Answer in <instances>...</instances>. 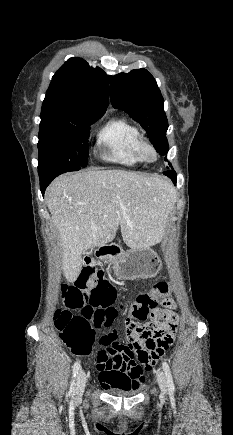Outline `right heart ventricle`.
Instances as JSON below:
<instances>
[{"mask_svg": "<svg viewBox=\"0 0 233 435\" xmlns=\"http://www.w3.org/2000/svg\"><path fill=\"white\" fill-rule=\"evenodd\" d=\"M99 143L106 149L104 159L107 161L132 167L146 162L138 129L124 119L109 120L99 132Z\"/></svg>", "mask_w": 233, "mask_h": 435, "instance_id": "e07e8e85", "label": "right heart ventricle"}]
</instances>
